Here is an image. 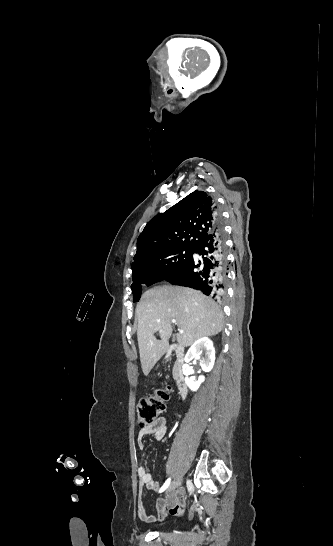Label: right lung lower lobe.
Segmentation results:
<instances>
[{
    "mask_svg": "<svg viewBox=\"0 0 333 546\" xmlns=\"http://www.w3.org/2000/svg\"><path fill=\"white\" fill-rule=\"evenodd\" d=\"M193 253L202 256V261L193 259ZM188 261L181 265L165 280L173 285L188 286L202 291L213 298H221L226 290L227 253L220 227L193 247Z\"/></svg>",
    "mask_w": 333,
    "mask_h": 546,
    "instance_id": "obj_1",
    "label": "right lung lower lobe"
}]
</instances>
